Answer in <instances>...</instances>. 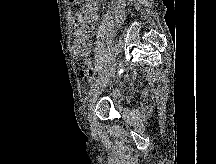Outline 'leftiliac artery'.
Segmentation results:
<instances>
[{"label":"left iliac artery","instance_id":"44dca946","mask_svg":"<svg viewBox=\"0 0 216 164\" xmlns=\"http://www.w3.org/2000/svg\"><path fill=\"white\" fill-rule=\"evenodd\" d=\"M100 76L96 79L95 84L91 87V90L89 91V95L92 94V92L95 90L97 85L99 84L100 80L102 79V76L104 75L102 72L99 74Z\"/></svg>","mask_w":216,"mask_h":164}]
</instances>
